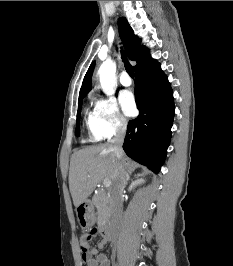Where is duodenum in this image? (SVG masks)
<instances>
[{"mask_svg":"<svg viewBox=\"0 0 233 266\" xmlns=\"http://www.w3.org/2000/svg\"><path fill=\"white\" fill-rule=\"evenodd\" d=\"M100 231L105 241L108 242L113 239V232L108 224H102Z\"/></svg>","mask_w":233,"mask_h":266,"instance_id":"duodenum-1","label":"duodenum"}]
</instances>
